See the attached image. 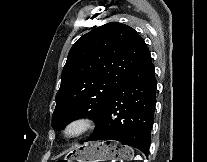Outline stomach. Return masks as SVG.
<instances>
[{
    "instance_id": "0dacf381",
    "label": "stomach",
    "mask_w": 207,
    "mask_h": 162,
    "mask_svg": "<svg viewBox=\"0 0 207 162\" xmlns=\"http://www.w3.org/2000/svg\"><path fill=\"white\" fill-rule=\"evenodd\" d=\"M133 156V150L117 142H90L76 148L65 160L77 162H104L107 160H124Z\"/></svg>"
}]
</instances>
